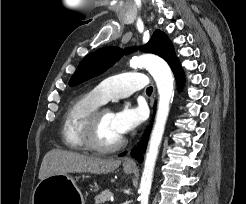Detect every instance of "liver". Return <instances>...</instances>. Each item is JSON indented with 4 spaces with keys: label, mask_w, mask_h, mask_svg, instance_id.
<instances>
[{
    "label": "liver",
    "mask_w": 246,
    "mask_h": 204,
    "mask_svg": "<svg viewBox=\"0 0 246 204\" xmlns=\"http://www.w3.org/2000/svg\"><path fill=\"white\" fill-rule=\"evenodd\" d=\"M120 160L104 159L72 151L52 149L44 156L39 170L40 181L56 174L92 173L107 174L117 169Z\"/></svg>",
    "instance_id": "liver-1"
}]
</instances>
